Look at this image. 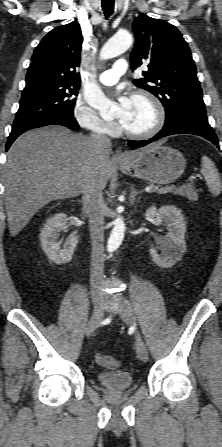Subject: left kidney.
<instances>
[{"label":"left kidney","mask_w":222,"mask_h":447,"mask_svg":"<svg viewBox=\"0 0 222 447\" xmlns=\"http://www.w3.org/2000/svg\"><path fill=\"white\" fill-rule=\"evenodd\" d=\"M146 218L153 220L156 224L166 223L168 233L157 241L159 254L156 249H150L152 260L162 268H170L175 265L186 251L185 232L186 224L181 210L175 206H162L157 209L149 207L145 213Z\"/></svg>","instance_id":"5707ae66"}]
</instances>
